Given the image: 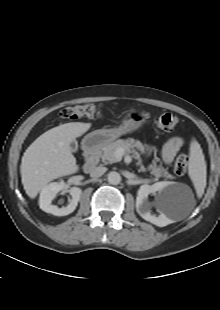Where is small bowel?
Here are the masks:
<instances>
[{"label": "small bowel", "mask_w": 220, "mask_h": 310, "mask_svg": "<svg viewBox=\"0 0 220 310\" xmlns=\"http://www.w3.org/2000/svg\"><path fill=\"white\" fill-rule=\"evenodd\" d=\"M185 145V140L180 136L170 138L162 148V159L165 163H171L177 153Z\"/></svg>", "instance_id": "c3829d8e"}]
</instances>
